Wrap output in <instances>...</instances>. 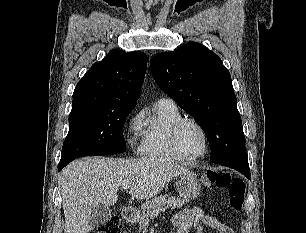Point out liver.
Returning <instances> with one entry per match:
<instances>
[{"label": "liver", "instance_id": "6515ba94", "mask_svg": "<svg viewBox=\"0 0 306 233\" xmlns=\"http://www.w3.org/2000/svg\"><path fill=\"white\" fill-rule=\"evenodd\" d=\"M189 173L161 158L112 159L86 157L69 163L58 176L65 215L64 233H88L90 214L100 203L114 205L117 191L130 184L129 194L139 200L157 195L173 178Z\"/></svg>", "mask_w": 306, "mask_h": 233}]
</instances>
